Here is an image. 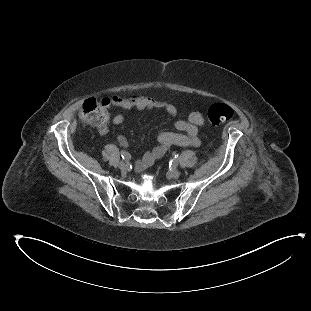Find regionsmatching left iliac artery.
Masks as SVG:
<instances>
[{"label":"left iliac artery","instance_id":"obj_1","mask_svg":"<svg viewBox=\"0 0 311 311\" xmlns=\"http://www.w3.org/2000/svg\"><path fill=\"white\" fill-rule=\"evenodd\" d=\"M178 159H179V155H175L174 158L170 161V166L171 167H176L178 165Z\"/></svg>","mask_w":311,"mask_h":311}]
</instances>
